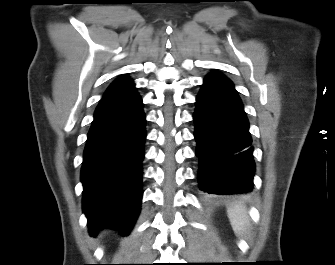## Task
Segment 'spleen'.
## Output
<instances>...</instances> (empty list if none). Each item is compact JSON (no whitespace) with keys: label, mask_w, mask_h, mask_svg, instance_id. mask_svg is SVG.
<instances>
[{"label":"spleen","mask_w":335,"mask_h":265,"mask_svg":"<svg viewBox=\"0 0 335 265\" xmlns=\"http://www.w3.org/2000/svg\"><path fill=\"white\" fill-rule=\"evenodd\" d=\"M227 214L234 233L242 236L249 224L245 207L240 204L234 205L227 209Z\"/></svg>","instance_id":"1"}]
</instances>
